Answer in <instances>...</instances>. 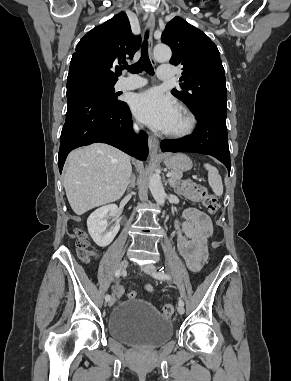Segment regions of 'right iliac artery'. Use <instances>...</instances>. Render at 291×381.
Segmentation results:
<instances>
[{
	"label": "right iliac artery",
	"instance_id": "1",
	"mask_svg": "<svg viewBox=\"0 0 291 381\" xmlns=\"http://www.w3.org/2000/svg\"><path fill=\"white\" fill-rule=\"evenodd\" d=\"M120 275H121V271L120 270H117L116 272H115V276L116 277H120ZM110 295L109 294H107L106 296H105V300L106 301H109L110 300Z\"/></svg>",
	"mask_w": 291,
	"mask_h": 381
}]
</instances>
